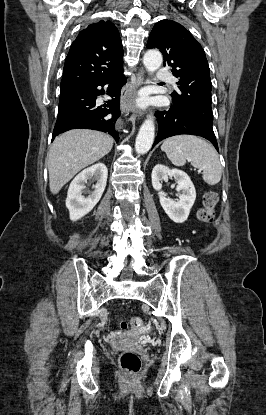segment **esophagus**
Instances as JSON below:
<instances>
[{
    "label": "esophagus",
    "mask_w": 266,
    "mask_h": 415,
    "mask_svg": "<svg viewBox=\"0 0 266 415\" xmlns=\"http://www.w3.org/2000/svg\"><path fill=\"white\" fill-rule=\"evenodd\" d=\"M145 83V72L140 69L137 73L136 82L132 84L122 96V101L127 110L137 113L138 116L144 114V110H140L136 106V92Z\"/></svg>",
    "instance_id": "obj_1"
}]
</instances>
